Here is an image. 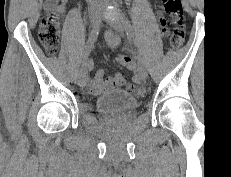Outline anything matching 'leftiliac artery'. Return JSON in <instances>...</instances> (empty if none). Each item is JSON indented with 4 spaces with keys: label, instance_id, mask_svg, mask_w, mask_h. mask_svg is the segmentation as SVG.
Wrapping results in <instances>:
<instances>
[{
    "label": "left iliac artery",
    "instance_id": "44dca946",
    "mask_svg": "<svg viewBox=\"0 0 231 177\" xmlns=\"http://www.w3.org/2000/svg\"><path fill=\"white\" fill-rule=\"evenodd\" d=\"M124 21H125V24H126V27H127V33L129 34V35H131L133 38H134V30H133V27H132V25H131V23H130V21L127 19V18H124ZM132 45L134 46L133 47V50L135 51L134 52V55L135 56H138L139 55V52L137 51L138 50V45H139V42L138 41H133L132 42Z\"/></svg>",
    "mask_w": 231,
    "mask_h": 177
}]
</instances>
